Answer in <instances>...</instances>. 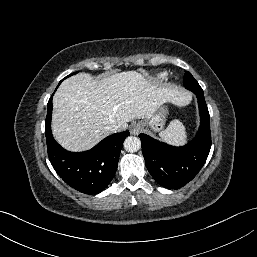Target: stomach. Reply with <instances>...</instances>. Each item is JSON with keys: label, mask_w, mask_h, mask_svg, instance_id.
Returning a JSON list of instances; mask_svg holds the SVG:
<instances>
[{"label": "stomach", "mask_w": 257, "mask_h": 257, "mask_svg": "<svg viewBox=\"0 0 257 257\" xmlns=\"http://www.w3.org/2000/svg\"><path fill=\"white\" fill-rule=\"evenodd\" d=\"M168 111L166 106H160L158 111L148 120L147 125L156 132L161 131L164 128L166 115Z\"/></svg>", "instance_id": "stomach-1"}]
</instances>
